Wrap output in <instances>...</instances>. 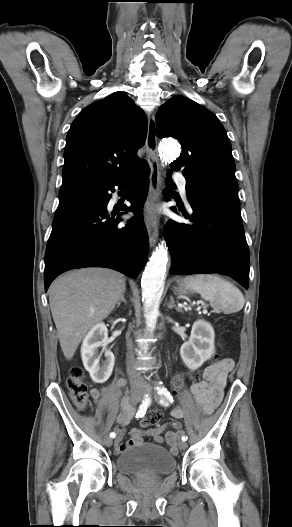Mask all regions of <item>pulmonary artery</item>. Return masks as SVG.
Listing matches in <instances>:
<instances>
[{
  "mask_svg": "<svg viewBox=\"0 0 292 527\" xmlns=\"http://www.w3.org/2000/svg\"><path fill=\"white\" fill-rule=\"evenodd\" d=\"M174 179L179 185L180 192L182 193L184 197H186V184H187L186 178L180 173H175Z\"/></svg>",
  "mask_w": 292,
  "mask_h": 527,
  "instance_id": "e3ab8cb5",
  "label": "pulmonary artery"
}]
</instances>
